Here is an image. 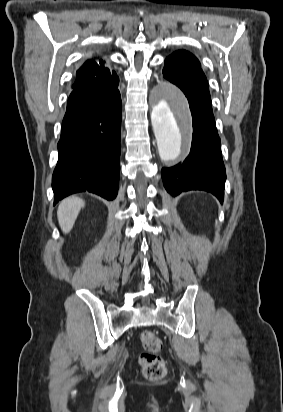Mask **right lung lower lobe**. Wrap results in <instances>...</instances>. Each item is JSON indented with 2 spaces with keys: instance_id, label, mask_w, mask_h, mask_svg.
Masks as SVG:
<instances>
[{
  "instance_id": "obj_1",
  "label": "right lung lower lobe",
  "mask_w": 283,
  "mask_h": 412,
  "mask_svg": "<svg viewBox=\"0 0 283 412\" xmlns=\"http://www.w3.org/2000/svg\"><path fill=\"white\" fill-rule=\"evenodd\" d=\"M119 79L97 78L74 88L62 122L52 177L54 204L89 191L112 200L119 184L122 102Z\"/></svg>"
}]
</instances>
